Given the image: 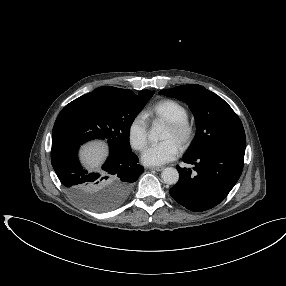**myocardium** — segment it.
<instances>
[{
  "mask_svg": "<svg viewBox=\"0 0 286 286\" xmlns=\"http://www.w3.org/2000/svg\"><path fill=\"white\" fill-rule=\"evenodd\" d=\"M167 126L175 132L181 148H187L195 138V126L188 119L167 122Z\"/></svg>",
  "mask_w": 286,
  "mask_h": 286,
  "instance_id": "myocardium-1",
  "label": "myocardium"
}]
</instances>
